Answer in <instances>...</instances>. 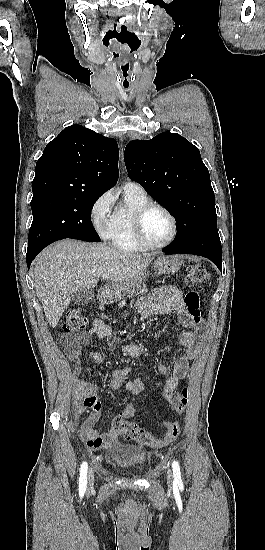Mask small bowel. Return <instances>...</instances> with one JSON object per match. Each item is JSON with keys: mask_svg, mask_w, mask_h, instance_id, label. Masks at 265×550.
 Wrapping results in <instances>:
<instances>
[{"mask_svg": "<svg viewBox=\"0 0 265 550\" xmlns=\"http://www.w3.org/2000/svg\"><path fill=\"white\" fill-rule=\"evenodd\" d=\"M136 309L142 321L149 319L155 315H162L170 312H175L178 315L180 322L184 327V331L177 338V344L186 348L185 353L178 357L172 366H167L161 363L158 366V372L164 377L165 384L161 391L164 397L167 392H175L179 380L183 379L190 370V361L193 360L202 348L203 340L199 335L201 327L200 322H195L184 311V302L181 291L172 284L165 285L152 291L147 296L139 299L136 303ZM98 337L107 340L110 345H116L118 338L114 335L109 325L101 319L94 321L93 326L82 333L67 334L61 337V343L65 348L66 357L73 364L78 363L83 346L90 343L93 337ZM143 343H129L122 347L121 353L131 358H141L144 355ZM90 359L97 365L105 366L106 362L103 356L96 351H89ZM112 379L109 383L111 389H120L124 387L133 395L140 396L144 391L145 386L141 379L129 381L128 375L130 368L123 366L112 368ZM82 379L80 378V382ZM94 391H97L96 383L89 385ZM100 406L93 416L86 420L80 428L79 435L86 447L96 451L101 448L111 445L117 438V433L107 431L101 433L95 428V423L100 415ZM136 413L132 403H128L119 413V417L128 419L132 418Z\"/></svg>", "mask_w": 265, "mask_h": 550, "instance_id": "obj_1", "label": "small bowel"}]
</instances>
